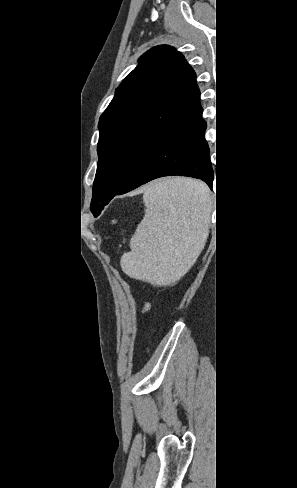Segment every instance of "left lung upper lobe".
I'll return each instance as SVG.
<instances>
[{"label": "left lung upper lobe", "mask_w": 297, "mask_h": 488, "mask_svg": "<svg viewBox=\"0 0 297 488\" xmlns=\"http://www.w3.org/2000/svg\"><path fill=\"white\" fill-rule=\"evenodd\" d=\"M199 100L196 74L180 52L161 45L140 57L99 120L94 216L156 149L203 112Z\"/></svg>", "instance_id": "obj_1"}]
</instances>
